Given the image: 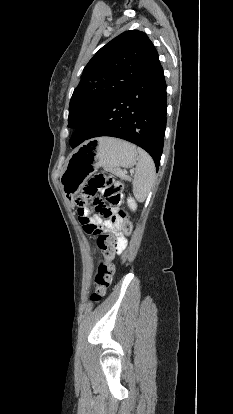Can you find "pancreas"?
Segmentation results:
<instances>
[{"mask_svg": "<svg viewBox=\"0 0 233 414\" xmlns=\"http://www.w3.org/2000/svg\"><path fill=\"white\" fill-rule=\"evenodd\" d=\"M117 176H119V177H121L122 179H128L126 176H125V174L123 175L122 173V171H120V170H117L116 172H114Z\"/></svg>", "mask_w": 233, "mask_h": 414, "instance_id": "1", "label": "pancreas"}]
</instances>
